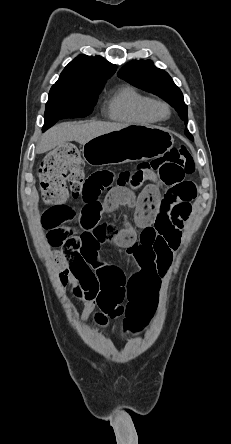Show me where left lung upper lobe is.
Masks as SVG:
<instances>
[{
  "label": "left lung upper lobe",
  "mask_w": 231,
  "mask_h": 444,
  "mask_svg": "<svg viewBox=\"0 0 231 444\" xmlns=\"http://www.w3.org/2000/svg\"><path fill=\"white\" fill-rule=\"evenodd\" d=\"M118 76L140 89L160 96L177 110L186 123L188 122L187 105L184 103L181 90L169 74L156 68L152 61L133 60L118 72ZM185 134L193 140L188 130H185Z\"/></svg>",
  "instance_id": "1"
}]
</instances>
